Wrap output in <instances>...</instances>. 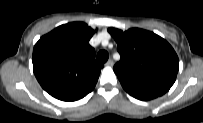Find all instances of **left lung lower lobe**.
<instances>
[{
    "mask_svg": "<svg viewBox=\"0 0 203 123\" xmlns=\"http://www.w3.org/2000/svg\"><path fill=\"white\" fill-rule=\"evenodd\" d=\"M130 95H132L133 97L139 99V100H151V99H154L158 96H154V95H151V94H147V93H144V92H141V91H138V90H135V89H131V88H126V87H123Z\"/></svg>",
    "mask_w": 203,
    "mask_h": 123,
    "instance_id": "left-lung-lower-lobe-1",
    "label": "left lung lower lobe"
}]
</instances>
